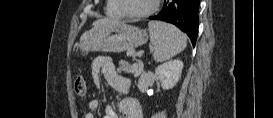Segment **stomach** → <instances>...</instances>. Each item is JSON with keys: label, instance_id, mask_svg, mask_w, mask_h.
Segmentation results:
<instances>
[{"label": "stomach", "instance_id": "obj_1", "mask_svg": "<svg viewBox=\"0 0 273 118\" xmlns=\"http://www.w3.org/2000/svg\"><path fill=\"white\" fill-rule=\"evenodd\" d=\"M148 35L145 30L115 21L107 25L93 27L80 37L82 52L104 51L123 52L145 44Z\"/></svg>", "mask_w": 273, "mask_h": 118}]
</instances>
